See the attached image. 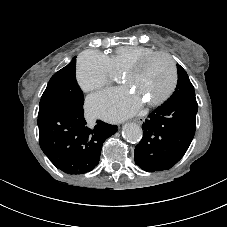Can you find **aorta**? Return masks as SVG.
Masks as SVG:
<instances>
[{"instance_id":"aorta-1","label":"aorta","mask_w":227,"mask_h":227,"mask_svg":"<svg viewBox=\"0 0 227 227\" xmlns=\"http://www.w3.org/2000/svg\"><path fill=\"white\" fill-rule=\"evenodd\" d=\"M122 135L126 140L137 143L142 139V129L135 123H127L123 126Z\"/></svg>"}]
</instances>
